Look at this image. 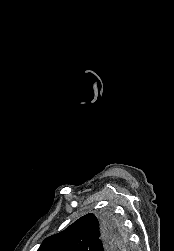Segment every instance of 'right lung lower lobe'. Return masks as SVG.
<instances>
[{
    "instance_id": "98d812e1",
    "label": "right lung lower lobe",
    "mask_w": 174,
    "mask_h": 251,
    "mask_svg": "<svg viewBox=\"0 0 174 251\" xmlns=\"http://www.w3.org/2000/svg\"><path fill=\"white\" fill-rule=\"evenodd\" d=\"M101 220H102V224H101L100 242L93 249V251H100L101 248L104 249L103 251H118V250H114L112 246L116 240H119L117 239V237L121 235L119 227L115 223L105 218H102ZM122 248L119 250H122Z\"/></svg>"
}]
</instances>
